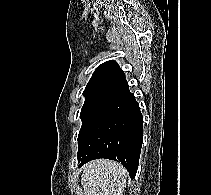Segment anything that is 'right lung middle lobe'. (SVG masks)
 Wrapping results in <instances>:
<instances>
[{"mask_svg":"<svg viewBox=\"0 0 211 195\" xmlns=\"http://www.w3.org/2000/svg\"><path fill=\"white\" fill-rule=\"evenodd\" d=\"M113 94L114 93L101 91L83 93L85 96V103L80 114V118L82 119V127L78 135V145H80V143L86 137Z\"/></svg>","mask_w":211,"mask_h":195,"instance_id":"1","label":"right lung middle lobe"}]
</instances>
